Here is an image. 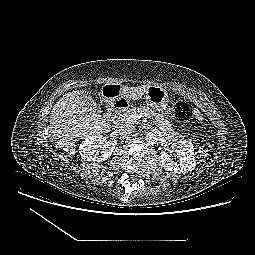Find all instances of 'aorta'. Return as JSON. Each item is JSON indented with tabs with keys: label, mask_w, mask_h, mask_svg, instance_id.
I'll return each instance as SVG.
<instances>
[{
	"label": "aorta",
	"mask_w": 255,
	"mask_h": 255,
	"mask_svg": "<svg viewBox=\"0 0 255 255\" xmlns=\"http://www.w3.org/2000/svg\"><path fill=\"white\" fill-rule=\"evenodd\" d=\"M145 139L150 145H153L158 141L157 135L152 132H148L145 136Z\"/></svg>",
	"instance_id": "obj_1"
}]
</instances>
